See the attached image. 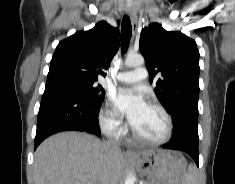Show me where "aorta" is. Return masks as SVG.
<instances>
[{"mask_svg":"<svg viewBox=\"0 0 235 184\" xmlns=\"http://www.w3.org/2000/svg\"><path fill=\"white\" fill-rule=\"evenodd\" d=\"M126 66H143L144 64V58L141 56V54H128V58L125 60ZM136 178L134 174H129L125 180V184H134Z\"/></svg>","mask_w":235,"mask_h":184,"instance_id":"aorta-1","label":"aorta"}]
</instances>
